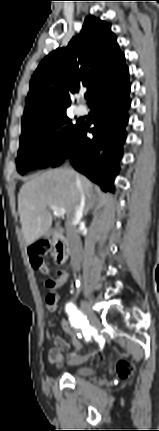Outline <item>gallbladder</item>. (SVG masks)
Masks as SVG:
<instances>
[{"instance_id":"gallbladder-1","label":"gallbladder","mask_w":159,"mask_h":431,"mask_svg":"<svg viewBox=\"0 0 159 431\" xmlns=\"http://www.w3.org/2000/svg\"><path fill=\"white\" fill-rule=\"evenodd\" d=\"M53 229H50L47 233H46V235H45V237L46 238H50L51 237V235L53 234Z\"/></svg>"}]
</instances>
